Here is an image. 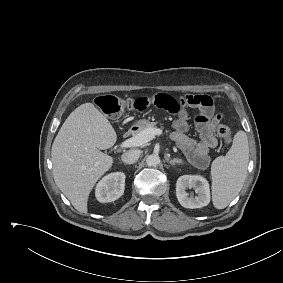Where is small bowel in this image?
<instances>
[{
  "label": "small bowel",
  "instance_id": "small-bowel-1",
  "mask_svg": "<svg viewBox=\"0 0 283 283\" xmlns=\"http://www.w3.org/2000/svg\"><path fill=\"white\" fill-rule=\"evenodd\" d=\"M149 107H156L174 116L172 139L185 153L190 162L198 168H206L210 162L209 151L217 146L214 134L219 115L213 114L212 99L203 94H189L180 99L158 93L151 97L134 100L132 112H141ZM197 109L195 121L200 134V141L188 136V109Z\"/></svg>",
  "mask_w": 283,
  "mask_h": 283
}]
</instances>
